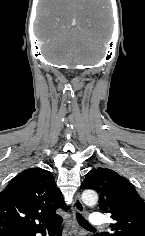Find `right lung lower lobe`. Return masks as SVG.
<instances>
[{
  "label": "right lung lower lobe",
  "mask_w": 145,
  "mask_h": 236,
  "mask_svg": "<svg viewBox=\"0 0 145 236\" xmlns=\"http://www.w3.org/2000/svg\"><path fill=\"white\" fill-rule=\"evenodd\" d=\"M60 223H61V219L44 229H40L39 231H36L34 233L24 234V235H20V236H35L36 233H41L43 236H46V231H48V233L50 234L53 225L60 224Z\"/></svg>",
  "instance_id": "1"
}]
</instances>
